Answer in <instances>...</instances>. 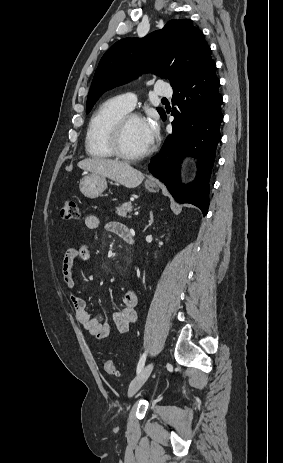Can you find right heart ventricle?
Returning a JSON list of instances; mask_svg holds the SVG:
<instances>
[{
  "label": "right heart ventricle",
  "mask_w": 283,
  "mask_h": 463,
  "mask_svg": "<svg viewBox=\"0 0 283 463\" xmlns=\"http://www.w3.org/2000/svg\"><path fill=\"white\" fill-rule=\"evenodd\" d=\"M128 110L119 97L104 101L92 114L85 136V151L93 158L107 159L113 157L108 145L111 127Z\"/></svg>",
  "instance_id": "e07e8e85"
}]
</instances>
